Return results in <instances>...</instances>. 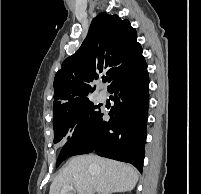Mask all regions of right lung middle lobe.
Masks as SVG:
<instances>
[{
	"instance_id": "dd1d6c3e",
	"label": "right lung middle lobe",
	"mask_w": 201,
	"mask_h": 194,
	"mask_svg": "<svg viewBox=\"0 0 201 194\" xmlns=\"http://www.w3.org/2000/svg\"><path fill=\"white\" fill-rule=\"evenodd\" d=\"M101 113L98 106L89 100L81 102L72 112L67 115L54 119V143H58L62 139H70L83 132L90 126ZM63 153H60L57 166H59L66 158Z\"/></svg>"
}]
</instances>
